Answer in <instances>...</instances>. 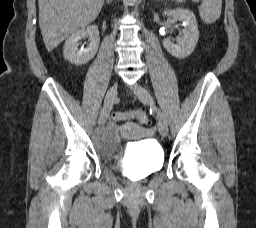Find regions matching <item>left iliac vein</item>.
<instances>
[{"mask_svg":"<svg viewBox=\"0 0 256 228\" xmlns=\"http://www.w3.org/2000/svg\"><path fill=\"white\" fill-rule=\"evenodd\" d=\"M133 89L135 91L136 96L141 102L152 106L154 105L153 98L145 87L141 86L140 84H135L133 86ZM156 112L159 133L165 137L168 134L167 120L164 114L159 109L156 108Z\"/></svg>","mask_w":256,"mask_h":228,"instance_id":"obj_1","label":"left iliac vein"}]
</instances>
